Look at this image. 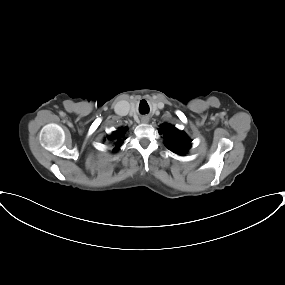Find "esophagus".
I'll list each match as a JSON object with an SVG mask.
<instances>
[{"instance_id":"obj_1","label":"esophagus","mask_w":285,"mask_h":285,"mask_svg":"<svg viewBox=\"0 0 285 285\" xmlns=\"http://www.w3.org/2000/svg\"><path fill=\"white\" fill-rule=\"evenodd\" d=\"M149 119L147 117H142L141 122L142 123H148Z\"/></svg>"}]
</instances>
